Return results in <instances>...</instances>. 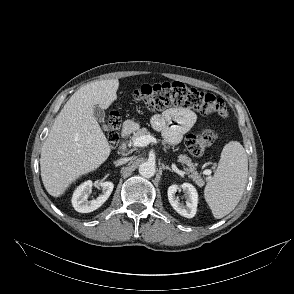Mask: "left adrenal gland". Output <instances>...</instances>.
I'll return each instance as SVG.
<instances>
[{
  "instance_id": "left-adrenal-gland-1",
  "label": "left adrenal gland",
  "mask_w": 294,
  "mask_h": 294,
  "mask_svg": "<svg viewBox=\"0 0 294 294\" xmlns=\"http://www.w3.org/2000/svg\"><path fill=\"white\" fill-rule=\"evenodd\" d=\"M162 169L169 170V171L173 172V169H171L169 166H165L163 163H162Z\"/></svg>"
}]
</instances>
